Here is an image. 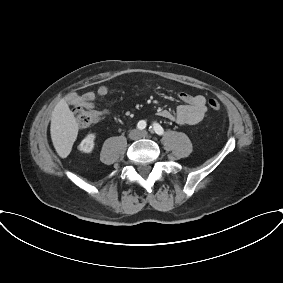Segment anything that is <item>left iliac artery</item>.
<instances>
[{
  "label": "left iliac artery",
  "instance_id": "left-iliac-artery-1",
  "mask_svg": "<svg viewBox=\"0 0 283 283\" xmlns=\"http://www.w3.org/2000/svg\"><path fill=\"white\" fill-rule=\"evenodd\" d=\"M151 132H155L158 135H163L164 129L158 123L153 124V130Z\"/></svg>",
  "mask_w": 283,
  "mask_h": 283
}]
</instances>
